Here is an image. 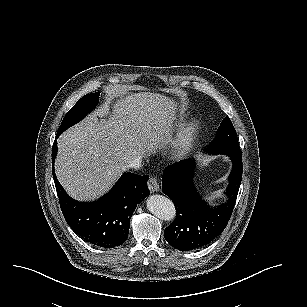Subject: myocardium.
Here are the masks:
<instances>
[{
  "label": "myocardium",
  "mask_w": 307,
  "mask_h": 307,
  "mask_svg": "<svg viewBox=\"0 0 307 307\" xmlns=\"http://www.w3.org/2000/svg\"><path fill=\"white\" fill-rule=\"evenodd\" d=\"M200 135V120L196 116H189L183 120L176 129V134L170 139V143L164 147L166 157L174 161H181L185 152H190L195 147V140Z\"/></svg>",
  "instance_id": "1"
}]
</instances>
